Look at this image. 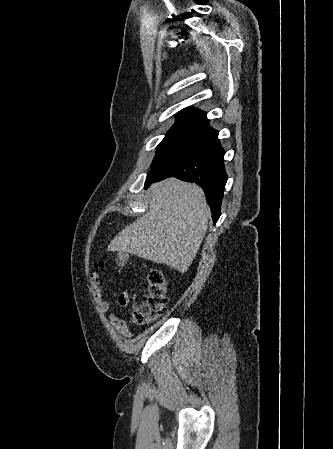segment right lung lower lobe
Here are the masks:
<instances>
[{
	"label": "right lung lower lobe",
	"mask_w": 333,
	"mask_h": 449,
	"mask_svg": "<svg viewBox=\"0 0 333 449\" xmlns=\"http://www.w3.org/2000/svg\"><path fill=\"white\" fill-rule=\"evenodd\" d=\"M225 154L218 139V131L208 128L181 145L149 173L147 188L152 182L168 177L195 182L206 194L214 224L220 216L223 191L227 182L224 168Z\"/></svg>",
	"instance_id": "1"
}]
</instances>
